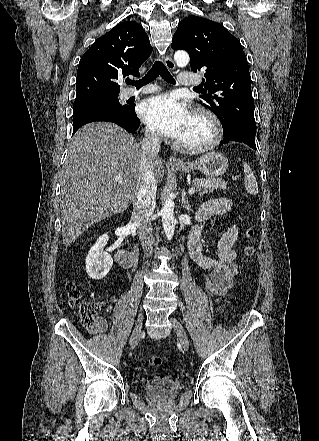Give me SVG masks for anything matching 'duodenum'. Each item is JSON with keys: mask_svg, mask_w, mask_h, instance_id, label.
Segmentation results:
<instances>
[{"mask_svg": "<svg viewBox=\"0 0 319 441\" xmlns=\"http://www.w3.org/2000/svg\"><path fill=\"white\" fill-rule=\"evenodd\" d=\"M116 261L123 267H132L135 262V253L126 248H119L115 254Z\"/></svg>", "mask_w": 319, "mask_h": 441, "instance_id": "duodenum-1", "label": "duodenum"}]
</instances>
